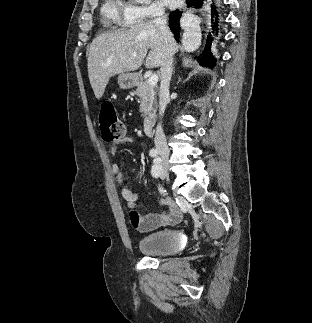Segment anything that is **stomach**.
<instances>
[{
    "instance_id": "stomach-1",
    "label": "stomach",
    "mask_w": 312,
    "mask_h": 323,
    "mask_svg": "<svg viewBox=\"0 0 312 323\" xmlns=\"http://www.w3.org/2000/svg\"><path fill=\"white\" fill-rule=\"evenodd\" d=\"M139 82L138 74H119L118 76V84L122 90H129V88H134L136 84Z\"/></svg>"
}]
</instances>
